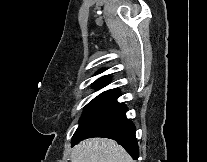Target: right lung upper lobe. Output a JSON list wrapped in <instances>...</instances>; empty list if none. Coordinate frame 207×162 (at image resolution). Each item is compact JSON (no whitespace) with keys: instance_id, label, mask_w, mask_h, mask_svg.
<instances>
[{"instance_id":"right-lung-upper-lobe-1","label":"right lung upper lobe","mask_w":207,"mask_h":162,"mask_svg":"<svg viewBox=\"0 0 207 162\" xmlns=\"http://www.w3.org/2000/svg\"><path fill=\"white\" fill-rule=\"evenodd\" d=\"M109 80H110L109 76H103V77L99 78L98 80H96L94 82V85H96L98 87L105 86L106 84H108Z\"/></svg>"}]
</instances>
